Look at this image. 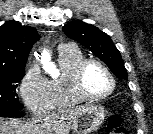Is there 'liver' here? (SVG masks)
<instances>
[{
  "instance_id": "1",
  "label": "liver",
  "mask_w": 153,
  "mask_h": 134,
  "mask_svg": "<svg viewBox=\"0 0 153 134\" xmlns=\"http://www.w3.org/2000/svg\"><path fill=\"white\" fill-rule=\"evenodd\" d=\"M85 107L71 108L52 114L50 117H37L31 121L0 118V134H68L76 116Z\"/></svg>"
}]
</instances>
